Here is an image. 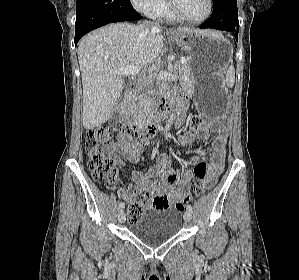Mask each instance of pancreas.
Here are the masks:
<instances>
[{
  "label": "pancreas",
  "mask_w": 299,
  "mask_h": 280,
  "mask_svg": "<svg viewBox=\"0 0 299 280\" xmlns=\"http://www.w3.org/2000/svg\"><path fill=\"white\" fill-rule=\"evenodd\" d=\"M180 83L183 87L187 89L192 88V77L190 75L189 63L182 64L179 69ZM153 106V101L149 97L139 98L136 103L131 107V113L133 114L135 120L140 122L142 118L150 112Z\"/></svg>",
  "instance_id": "obj_1"
}]
</instances>
